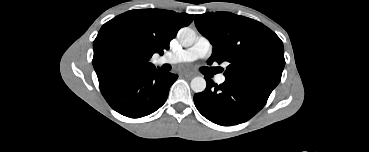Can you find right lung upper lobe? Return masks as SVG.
<instances>
[{
	"mask_svg": "<svg viewBox=\"0 0 369 152\" xmlns=\"http://www.w3.org/2000/svg\"><path fill=\"white\" fill-rule=\"evenodd\" d=\"M194 15L161 9H135L105 23L93 42L99 86L126 73L150 70L154 53L163 54L178 30Z\"/></svg>",
	"mask_w": 369,
	"mask_h": 152,
	"instance_id": "1",
	"label": "right lung upper lobe"
}]
</instances>
